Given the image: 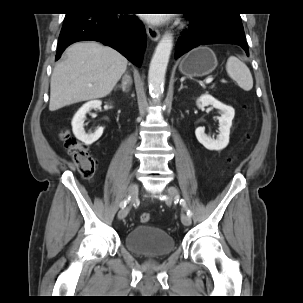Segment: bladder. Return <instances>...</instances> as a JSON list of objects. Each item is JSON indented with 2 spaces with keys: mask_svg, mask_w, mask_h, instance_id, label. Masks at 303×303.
Instances as JSON below:
<instances>
[{
  "mask_svg": "<svg viewBox=\"0 0 303 303\" xmlns=\"http://www.w3.org/2000/svg\"><path fill=\"white\" fill-rule=\"evenodd\" d=\"M127 250L141 257H165L175 248L173 237L166 231L152 225H137L125 236Z\"/></svg>",
  "mask_w": 303,
  "mask_h": 303,
  "instance_id": "31cf9c89",
  "label": "bladder"
}]
</instances>
